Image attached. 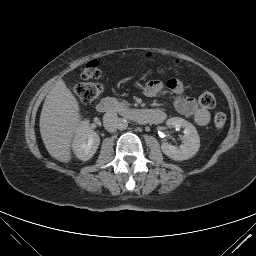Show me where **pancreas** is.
Listing matches in <instances>:
<instances>
[{
  "instance_id": "obj_1",
  "label": "pancreas",
  "mask_w": 256,
  "mask_h": 256,
  "mask_svg": "<svg viewBox=\"0 0 256 256\" xmlns=\"http://www.w3.org/2000/svg\"><path fill=\"white\" fill-rule=\"evenodd\" d=\"M128 106H130V104L127 103L125 100H123L122 102H119L117 104V108H119V109L127 108Z\"/></svg>"
}]
</instances>
